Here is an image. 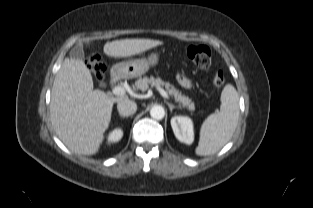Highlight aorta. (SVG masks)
<instances>
[{
  "label": "aorta",
  "instance_id": "762f6f07",
  "mask_svg": "<svg viewBox=\"0 0 313 208\" xmlns=\"http://www.w3.org/2000/svg\"><path fill=\"white\" fill-rule=\"evenodd\" d=\"M150 115L153 119L161 120L165 116V110L160 105H154L150 110Z\"/></svg>",
  "mask_w": 313,
  "mask_h": 208
}]
</instances>
